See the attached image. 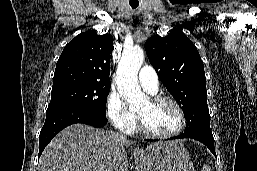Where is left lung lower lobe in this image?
<instances>
[{
  "instance_id": "0a47b994",
  "label": "left lung lower lobe",
  "mask_w": 257,
  "mask_h": 171,
  "mask_svg": "<svg viewBox=\"0 0 257 171\" xmlns=\"http://www.w3.org/2000/svg\"><path fill=\"white\" fill-rule=\"evenodd\" d=\"M180 138L195 139L205 144L209 148V150L216 156L215 148H214V138H213L212 132L202 131V130L186 131L179 136L172 137L171 139H180ZM147 141H153V140H147Z\"/></svg>"
}]
</instances>
